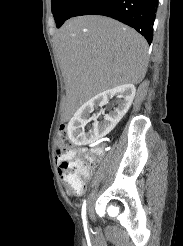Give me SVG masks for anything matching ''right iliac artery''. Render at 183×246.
I'll list each match as a JSON object with an SVG mask.
<instances>
[{
	"mask_svg": "<svg viewBox=\"0 0 183 246\" xmlns=\"http://www.w3.org/2000/svg\"><path fill=\"white\" fill-rule=\"evenodd\" d=\"M82 220H83V224H84V227L87 228V218H86V200H84L83 202V205H82Z\"/></svg>",
	"mask_w": 183,
	"mask_h": 246,
	"instance_id": "right-iliac-artery-1",
	"label": "right iliac artery"
}]
</instances>
